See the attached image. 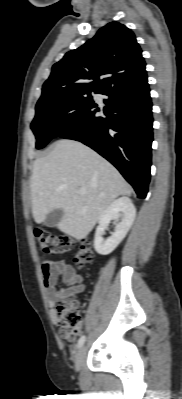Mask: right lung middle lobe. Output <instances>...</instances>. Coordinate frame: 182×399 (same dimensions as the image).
Listing matches in <instances>:
<instances>
[{"label": "right lung middle lobe", "mask_w": 182, "mask_h": 399, "mask_svg": "<svg viewBox=\"0 0 182 399\" xmlns=\"http://www.w3.org/2000/svg\"><path fill=\"white\" fill-rule=\"evenodd\" d=\"M91 94L54 97L39 101L31 129L36 148H43L52 138L82 127L97 114Z\"/></svg>", "instance_id": "obj_1"}]
</instances>
